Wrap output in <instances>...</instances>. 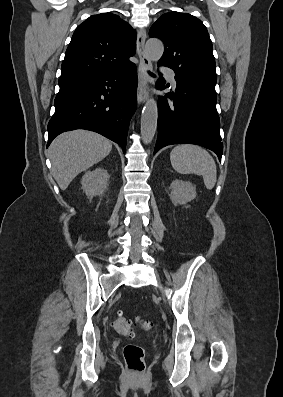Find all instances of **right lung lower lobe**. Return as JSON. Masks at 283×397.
Returning <instances> with one entry per match:
<instances>
[{
  "instance_id": "right-lung-lower-lobe-1",
  "label": "right lung lower lobe",
  "mask_w": 283,
  "mask_h": 397,
  "mask_svg": "<svg viewBox=\"0 0 283 397\" xmlns=\"http://www.w3.org/2000/svg\"><path fill=\"white\" fill-rule=\"evenodd\" d=\"M59 86L47 147L62 132L86 129L118 143L125 152L129 122L137 106L136 65Z\"/></svg>"
}]
</instances>
